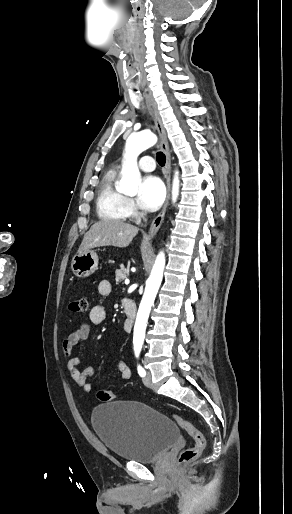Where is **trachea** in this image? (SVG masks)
I'll use <instances>...</instances> for the list:
<instances>
[{
    "label": "trachea",
    "instance_id": "1",
    "mask_svg": "<svg viewBox=\"0 0 292 514\" xmlns=\"http://www.w3.org/2000/svg\"><path fill=\"white\" fill-rule=\"evenodd\" d=\"M156 160H157L158 164L161 165V167H163L165 165L166 157L163 154V152H157Z\"/></svg>",
    "mask_w": 292,
    "mask_h": 514
}]
</instances>
